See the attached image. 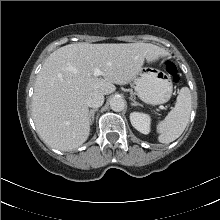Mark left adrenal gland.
I'll return each instance as SVG.
<instances>
[{"instance_id": "obj_1", "label": "left adrenal gland", "mask_w": 220, "mask_h": 220, "mask_svg": "<svg viewBox=\"0 0 220 220\" xmlns=\"http://www.w3.org/2000/svg\"><path fill=\"white\" fill-rule=\"evenodd\" d=\"M131 105H133V106H141V104L136 102L134 99H132Z\"/></svg>"}]
</instances>
